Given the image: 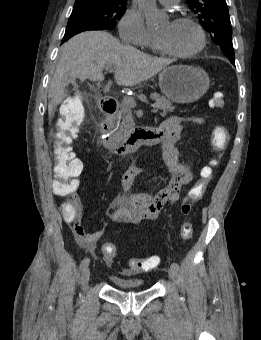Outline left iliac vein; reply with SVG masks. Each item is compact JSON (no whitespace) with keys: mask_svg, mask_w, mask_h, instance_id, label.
I'll use <instances>...</instances> for the list:
<instances>
[{"mask_svg":"<svg viewBox=\"0 0 261 340\" xmlns=\"http://www.w3.org/2000/svg\"><path fill=\"white\" fill-rule=\"evenodd\" d=\"M168 274L173 281L176 282L178 280V270H176L175 268L170 267L168 269Z\"/></svg>","mask_w":261,"mask_h":340,"instance_id":"1","label":"left iliac vein"}]
</instances>
